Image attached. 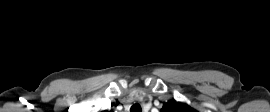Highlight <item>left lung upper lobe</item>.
<instances>
[{"label":"left lung upper lobe","instance_id":"1","mask_svg":"<svg viewBox=\"0 0 270 112\" xmlns=\"http://www.w3.org/2000/svg\"><path fill=\"white\" fill-rule=\"evenodd\" d=\"M161 112H198L190 106L180 102H168L163 105Z\"/></svg>","mask_w":270,"mask_h":112}]
</instances>
